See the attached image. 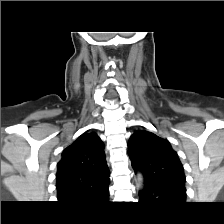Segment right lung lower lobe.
<instances>
[{
	"label": "right lung lower lobe",
	"mask_w": 224,
	"mask_h": 224,
	"mask_svg": "<svg viewBox=\"0 0 224 224\" xmlns=\"http://www.w3.org/2000/svg\"><path fill=\"white\" fill-rule=\"evenodd\" d=\"M109 198V191L103 194L98 200L107 201Z\"/></svg>",
	"instance_id": "right-lung-lower-lobe-1"
}]
</instances>
